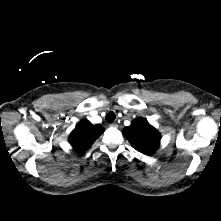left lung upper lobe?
Returning a JSON list of instances; mask_svg holds the SVG:
<instances>
[{
	"instance_id": "5c2ea615",
	"label": "left lung upper lobe",
	"mask_w": 221,
	"mask_h": 221,
	"mask_svg": "<svg viewBox=\"0 0 221 221\" xmlns=\"http://www.w3.org/2000/svg\"><path fill=\"white\" fill-rule=\"evenodd\" d=\"M124 136L137 151L151 155L159 147L160 134L144 118H138L123 129Z\"/></svg>"
}]
</instances>
